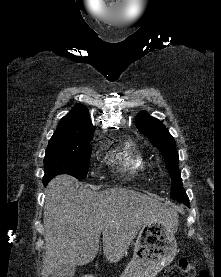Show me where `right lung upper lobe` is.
<instances>
[{
  "label": "right lung upper lobe",
  "instance_id": "cb5924a9",
  "mask_svg": "<svg viewBox=\"0 0 221 277\" xmlns=\"http://www.w3.org/2000/svg\"><path fill=\"white\" fill-rule=\"evenodd\" d=\"M93 127L86 106L77 104L60 120L54 135L85 137L93 135Z\"/></svg>",
  "mask_w": 221,
  "mask_h": 277
}]
</instances>
